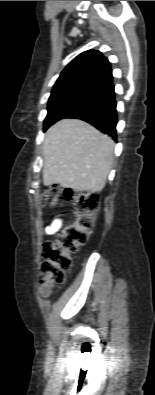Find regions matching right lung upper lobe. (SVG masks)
Returning <instances> with one entry per match:
<instances>
[{
  "instance_id": "cb5924a9",
  "label": "right lung upper lobe",
  "mask_w": 155,
  "mask_h": 395,
  "mask_svg": "<svg viewBox=\"0 0 155 395\" xmlns=\"http://www.w3.org/2000/svg\"><path fill=\"white\" fill-rule=\"evenodd\" d=\"M112 80V70L108 59L99 51L88 50L79 54L66 66L54 86L84 83L104 89Z\"/></svg>"
}]
</instances>
